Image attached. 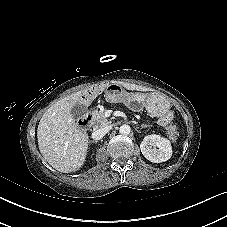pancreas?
<instances>
[{"label": "pancreas", "mask_w": 227, "mask_h": 227, "mask_svg": "<svg viewBox=\"0 0 227 227\" xmlns=\"http://www.w3.org/2000/svg\"><path fill=\"white\" fill-rule=\"evenodd\" d=\"M95 121L102 127L108 126L111 122L105 116V109H101L93 113ZM168 138L174 142L177 139L178 131L176 125H170L165 128Z\"/></svg>", "instance_id": "cf45deb5"}]
</instances>
